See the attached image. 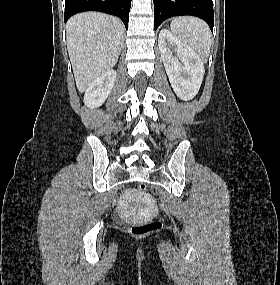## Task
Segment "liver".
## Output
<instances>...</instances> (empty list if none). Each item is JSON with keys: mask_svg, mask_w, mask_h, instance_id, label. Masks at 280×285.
<instances>
[{"mask_svg": "<svg viewBox=\"0 0 280 285\" xmlns=\"http://www.w3.org/2000/svg\"><path fill=\"white\" fill-rule=\"evenodd\" d=\"M67 48L79 92L118 61L124 27L116 17L85 12L71 17L67 24Z\"/></svg>", "mask_w": 280, "mask_h": 285, "instance_id": "liver-1", "label": "liver"}]
</instances>
